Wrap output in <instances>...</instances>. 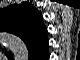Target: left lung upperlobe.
<instances>
[{"label":"left lung upper lobe","mask_w":80,"mask_h":60,"mask_svg":"<svg viewBox=\"0 0 80 60\" xmlns=\"http://www.w3.org/2000/svg\"><path fill=\"white\" fill-rule=\"evenodd\" d=\"M0 30L19 36L26 43L30 56H36L37 43L46 29L38 10L28 2L0 11Z\"/></svg>","instance_id":"obj_1"}]
</instances>
